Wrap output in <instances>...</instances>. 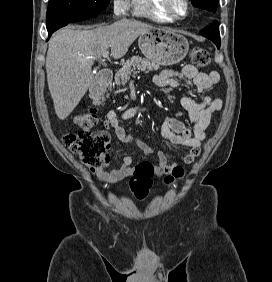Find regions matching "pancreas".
<instances>
[{
  "mask_svg": "<svg viewBox=\"0 0 272 282\" xmlns=\"http://www.w3.org/2000/svg\"><path fill=\"white\" fill-rule=\"evenodd\" d=\"M157 69H159L158 64L139 56H133L131 59L125 61L122 68L115 74V84L117 86L126 84L132 73L136 74L140 71L145 72Z\"/></svg>",
  "mask_w": 272,
  "mask_h": 282,
  "instance_id": "pancreas-1",
  "label": "pancreas"
}]
</instances>
